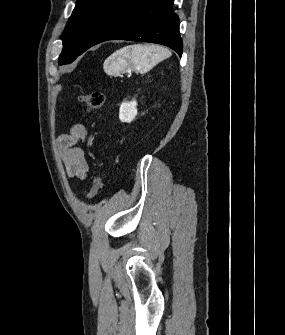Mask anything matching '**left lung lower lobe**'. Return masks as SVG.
Returning a JSON list of instances; mask_svg holds the SVG:
<instances>
[{
	"label": "left lung lower lobe",
	"instance_id": "1",
	"mask_svg": "<svg viewBox=\"0 0 285 335\" xmlns=\"http://www.w3.org/2000/svg\"><path fill=\"white\" fill-rule=\"evenodd\" d=\"M117 39L166 45L181 57L183 43L173 0H111L85 34L80 54Z\"/></svg>",
	"mask_w": 285,
	"mask_h": 335
}]
</instances>
